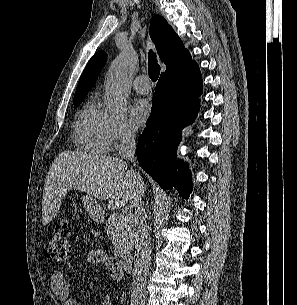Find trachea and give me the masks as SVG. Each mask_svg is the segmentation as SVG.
<instances>
[{"instance_id": "3493384b", "label": "trachea", "mask_w": 297, "mask_h": 305, "mask_svg": "<svg viewBox=\"0 0 297 305\" xmlns=\"http://www.w3.org/2000/svg\"><path fill=\"white\" fill-rule=\"evenodd\" d=\"M148 58V68H149V77L152 81H157L159 74H160V66L157 63L156 54L150 51Z\"/></svg>"}]
</instances>
